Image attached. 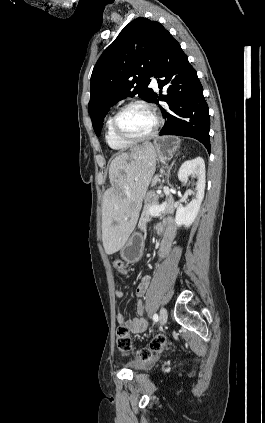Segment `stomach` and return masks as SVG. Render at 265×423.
I'll use <instances>...</instances> for the list:
<instances>
[{
	"mask_svg": "<svg viewBox=\"0 0 265 423\" xmlns=\"http://www.w3.org/2000/svg\"><path fill=\"white\" fill-rule=\"evenodd\" d=\"M157 158L160 161L172 159L177 145L171 137L157 138L154 142ZM143 237L140 233H133L121 249V257L128 263H137L143 256Z\"/></svg>",
	"mask_w": 265,
	"mask_h": 423,
	"instance_id": "1",
	"label": "stomach"
}]
</instances>
